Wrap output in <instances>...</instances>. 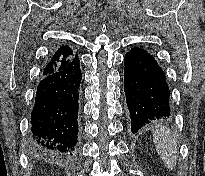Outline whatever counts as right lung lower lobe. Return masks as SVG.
Segmentation results:
<instances>
[{
	"mask_svg": "<svg viewBox=\"0 0 205 176\" xmlns=\"http://www.w3.org/2000/svg\"><path fill=\"white\" fill-rule=\"evenodd\" d=\"M78 55L43 75L31 113V147L37 152L73 155L78 149Z\"/></svg>",
	"mask_w": 205,
	"mask_h": 176,
	"instance_id": "98d812e1",
	"label": "right lung lower lobe"
}]
</instances>
